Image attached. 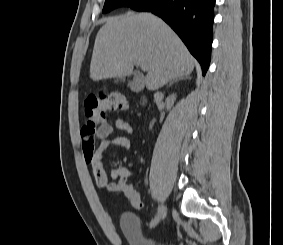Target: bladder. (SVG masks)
<instances>
[{"label":"bladder","mask_w":283,"mask_h":245,"mask_svg":"<svg viewBox=\"0 0 283 245\" xmlns=\"http://www.w3.org/2000/svg\"><path fill=\"white\" fill-rule=\"evenodd\" d=\"M120 222L122 231L130 245H175L168 240L144 237L141 220L133 212H124Z\"/></svg>","instance_id":"1"}]
</instances>
